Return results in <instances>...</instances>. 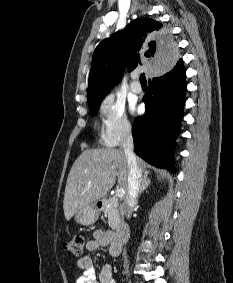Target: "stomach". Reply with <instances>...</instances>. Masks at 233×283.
I'll return each instance as SVG.
<instances>
[{
	"instance_id": "obj_1",
	"label": "stomach",
	"mask_w": 233,
	"mask_h": 283,
	"mask_svg": "<svg viewBox=\"0 0 233 283\" xmlns=\"http://www.w3.org/2000/svg\"><path fill=\"white\" fill-rule=\"evenodd\" d=\"M100 211L94 204L83 207L78 212L75 213L74 219L78 224L81 225H91L96 222Z\"/></svg>"
}]
</instances>
